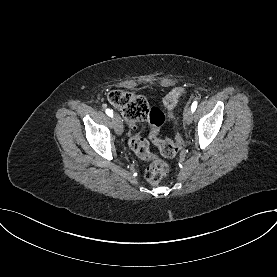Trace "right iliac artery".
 Segmentation results:
<instances>
[{"label": "right iliac artery", "mask_w": 277, "mask_h": 277, "mask_svg": "<svg viewBox=\"0 0 277 277\" xmlns=\"http://www.w3.org/2000/svg\"><path fill=\"white\" fill-rule=\"evenodd\" d=\"M106 114L110 117L113 116V112L110 109H106Z\"/></svg>", "instance_id": "obj_1"}]
</instances>
